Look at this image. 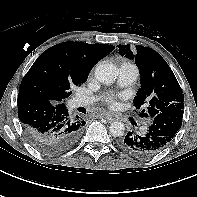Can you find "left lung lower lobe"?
<instances>
[{
    "label": "left lung lower lobe",
    "mask_w": 197,
    "mask_h": 197,
    "mask_svg": "<svg viewBox=\"0 0 197 197\" xmlns=\"http://www.w3.org/2000/svg\"><path fill=\"white\" fill-rule=\"evenodd\" d=\"M183 110L161 112L151 122L147 132L139 135L128 132L119 141V147L126 153L139 158L152 156L163 150L180 129Z\"/></svg>",
    "instance_id": "obj_1"
}]
</instances>
